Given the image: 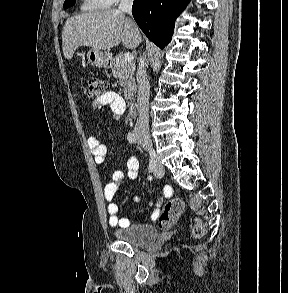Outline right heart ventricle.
<instances>
[{
	"label": "right heart ventricle",
	"instance_id": "e07e8e85",
	"mask_svg": "<svg viewBox=\"0 0 288 293\" xmlns=\"http://www.w3.org/2000/svg\"><path fill=\"white\" fill-rule=\"evenodd\" d=\"M111 4L107 0H83L81 9L84 11L106 9Z\"/></svg>",
	"mask_w": 288,
	"mask_h": 293
}]
</instances>
